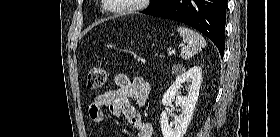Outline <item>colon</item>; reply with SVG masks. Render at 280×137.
Masks as SVG:
<instances>
[{
    "mask_svg": "<svg viewBox=\"0 0 280 137\" xmlns=\"http://www.w3.org/2000/svg\"><path fill=\"white\" fill-rule=\"evenodd\" d=\"M107 73L101 66L92 67L87 73V86L91 90L101 88L106 82Z\"/></svg>",
    "mask_w": 280,
    "mask_h": 137,
    "instance_id": "colon-1",
    "label": "colon"
}]
</instances>
